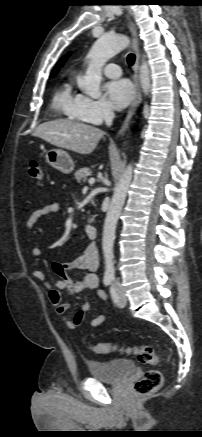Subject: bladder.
<instances>
[{"instance_id":"31cf9c89","label":"bladder","mask_w":202,"mask_h":437,"mask_svg":"<svg viewBox=\"0 0 202 437\" xmlns=\"http://www.w3.org/2000/svg\"><path fill=\"white\" fill-rule=\"evenodd\" d=\"M92 378L107 383H117L125 379L136 369L130 359H114L109 361H90L87 364Z\"/></svg>"}]
</instances>
